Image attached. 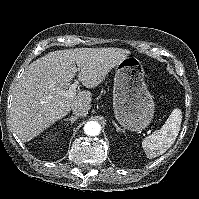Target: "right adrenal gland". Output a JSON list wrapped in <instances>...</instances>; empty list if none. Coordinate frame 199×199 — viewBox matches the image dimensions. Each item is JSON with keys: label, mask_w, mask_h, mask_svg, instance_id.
Instances as JSON below:
<instances>
[{"label": "right adrenal gland", "mask_w": 199, "mask_h": 199, "mask_svg": "<svg viewBox=\"0 0 199 199\" xmlns=\"http://www.w3.org/2000/svg\"><path fill=\"white\" fill-rule=\"evenodd\" d=\"M78 119V117L76 116H71L70 118L64 119L65 121H70L71 123H74L76 120Z\"/></svg>", "instance_id": "right-adrenal-gland-1"}]
</instances>
